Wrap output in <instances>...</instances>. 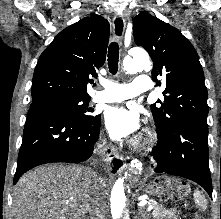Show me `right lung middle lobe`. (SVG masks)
<instances>
[{"mask_svg": "<svg viewBox=\"0 0 221 219\" xmlns=\"http://www.w3.org/2000/svg\"><path fill=\"white\" fill-rule=\"evenodd\" d=\"M88 99H72V98H49L32 102L30 109H46L65 113L75 120L84 123H94L100 115H91L93 112L88 108Z\"/></svg>", "mask_w": 221, "mask_h": 219, "instance_id": "dd1d6c3e", "label": "right lung middle lobe"}]
</instances>
